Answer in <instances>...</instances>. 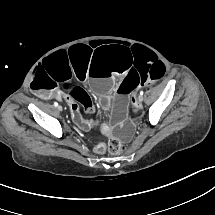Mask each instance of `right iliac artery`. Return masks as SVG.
<instances>
[{"label": "right iliac artery", "instance_id": "82829eb1", "mask_svg": "<svg viewBox=\"0 0 215 215\" xmlns=\"http://www.w3.org/2000/svg\"><path fill=\"white\" fill-rule=\"evenodd\" d=\"M54 105L57 107V106H58V103H57V102H55V103H54Z\"/></svg>", "mask_w": 215, "mask_h": 215}]
</instances>
